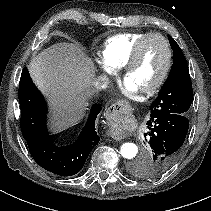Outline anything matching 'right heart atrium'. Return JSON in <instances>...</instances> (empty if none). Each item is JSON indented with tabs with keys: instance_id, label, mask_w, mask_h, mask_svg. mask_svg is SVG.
Masks as SVG:
<instances>
[{
	"instance_id": "obj_1",
	"label": "right heart atrium",
	"mask_w": 211,
	"mask_h": 211,
	"mask_svg": "<svg viewBox=\"0 0 211 211\" xmlns=\"http://www.w3.org/2000/svg\"><path fill=\"white\" fill-rule=\"evenodd\" d=\"M96 62L98 63V65L101 67V69L106 73V74H109V75H115L116 74V71L114 68L108 66L104 60L100 57H97L96 58Z\"/></svg>"
}]
</instances>
